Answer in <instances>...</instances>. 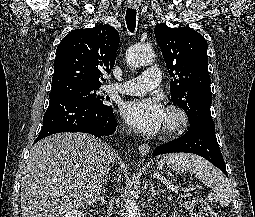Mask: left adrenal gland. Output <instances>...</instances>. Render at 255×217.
Here are the masks:
<instances>
[{
	"label": "left adrenal gland",
	"instance_id": "left-adrenal-gland-1",
	"mask_svg": "<svg viewBox=\"0 0 255 217\" xmlns=\"http://www.w3.org/2000/svg\"><path fill=\"white\" fill-rule=\"evenodd\" d=\"M150 190H151V197H150V200H151L154 196H156L157 194H159V193L161 192L160 189L155 190L154 184H151V185H150Z\"/></svg>",
	"mask_w": 255,
	"mask_h": 217
}]
</instances>
